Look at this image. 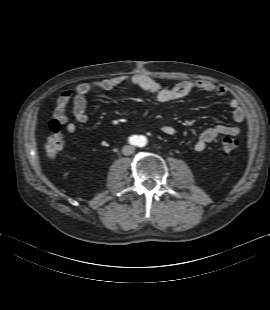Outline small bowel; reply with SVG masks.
I'll return each instance as SVG.
<instances>
[{"instance_id": "c3829d8e", "label": "small bowel", "mask_w": 270, "mask_h": 310, "mask_svg": "<svg viewBox=\"0 0 270 310\" xmlns=\"http://www.w3.org/2000/svg\"><path fill=\"white\" fill-rule=\"evenodd\" d=\"M119 85L137 86L142 90L152 94L162 103L180 100L195 90L214 93L219 97H225L228 94V89L222 84H214L205 80L182 81L176 85L166 88L153 79L152 77L136 73L130 76H118L107 78L98 81H84L77 85L75 89H68L63 91L57 99L54 110V118L57 119L61 125L66 127V131L70 134L76 131V122L85 124L88 121L86 113V97L94 90L108 92ZM72 102L71 114L74 121L66 112L67 105ZM229 106L232 109V116L235 124L224 125L219 124L205 129L196 141L194 148L196 151H202L206 145L215 140L219 136H237L241 133L240 123L246 118V111L242 106L240 100L232 97L229 100ZM164 134L172 136L176 133V129L170 124L161 126Z\"/></svg>"}]
</instances>
